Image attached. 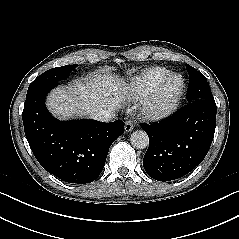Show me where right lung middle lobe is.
<instances>
[{"mask_svg": "<svg viewBox=\"0 0 239 239\" xmlns=\"http://www.w3.org/2000/svg\"><path fill=\"white\" fill-rule=\"evenodd\" d=\"M77 65H66L62 67L52 68L41 74L29 86L28 91L39 87H46L58 83V81L69 77L70 72L76 68Z\"/></svg>", "mask_w": 239, "mask_h": 239, "instance_id": "1", "label": "right lung middle lobe"}]
</instances>
